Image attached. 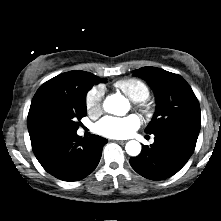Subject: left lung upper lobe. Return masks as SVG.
Returning <instances> with one entry per match:
<instances>
[{"label": "left lung upper lobe", "instance_id": "1", "mask_svg": "<svg viewBox=\"0 0 221 221\" xmlns=\"http://www.w3.org/2000/svg\"><path fill=\"white\" fill-rule=\"evenodd\" d=\"M133 74L146 80L156 97V111L145 129L147 134H154L163 128L173 126L199 133L201 128L199 102L183 77L157 67H142L134 70Z\"/></svg>", "mask_w": 221, "mask_h": 221}]
</instances>
